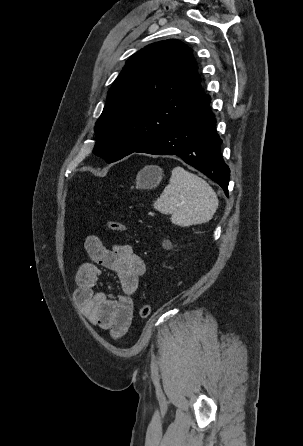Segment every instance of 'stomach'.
Segmentation results:
<instances>
[{
	"mask_svg": "<svg viewBox=\"0 0 303 446\" xmlns=\"http://www.w3.org/2000/svg\"><path fill=\"white\" fill-rule=\"evenodd\" d=\"M163 177V170L156 165H148L141 169L136 176V187L139 189H153L159 185Z\"/></svg>",
	"mask_w": 303,
	"mask_h": 446,
	"instance_id": "0dacf381",
	"label": "stomach"
}]
</instances>
